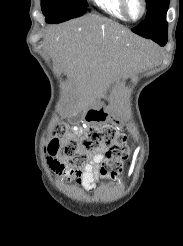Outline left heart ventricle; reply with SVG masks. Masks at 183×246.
<instances>
[{
    "label": "left heart ventricle",
    "instance_id": "left-heart-ventricle-1",
    "mask_svg": "<svg viewBox=\"0 0 183 246\" xmlns=\"http://www.w3.org/2000/svg\"><path fill=\"white\" fill-rule=\"evenodd\" d=\"M141 7L138 0H131L129 5V13L133 18H137L140 14Z\"/></svg>",
    "mask_w": 183,
    "mask_h": 246
}]
</instances>
